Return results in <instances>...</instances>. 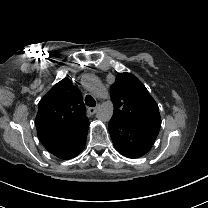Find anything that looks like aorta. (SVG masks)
<instances>
[{"label": "aorta", "instance_id": "762f6f07", "mask_svg": "<svg viewBox=\"0 0 208 208\" xmlns=\"http://www.w3.org/2000/svg\"><path fill=\"white\" fill-rule=\"evenodd\" d=\"M113 115V104L103 103L97 109V118L100 121H109Z\"/></svg>", "mask_w": 208, "mask_h": 208}]
</instances>
